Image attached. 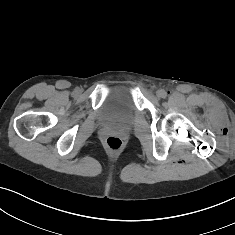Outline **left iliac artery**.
I'll list each match as a JSON object with an SVG mask.
<instances>
[{
	"instance_id": "1",
	"label": "left iliac artery",
	"mask_w": 235,
	"mask_h": 235,
	"mask_svg": "<svg viewBox=\"0 0 235 235\" xmlns=\"http://www.w3.org/2000/svg\"><path fill=\"white\" fill-rule=\"evenodd\" d=\"M166 96H167L166 92L163 91V93H162V98H166Z\"/></svg>"
}]
</instances>
